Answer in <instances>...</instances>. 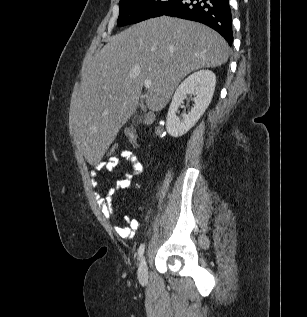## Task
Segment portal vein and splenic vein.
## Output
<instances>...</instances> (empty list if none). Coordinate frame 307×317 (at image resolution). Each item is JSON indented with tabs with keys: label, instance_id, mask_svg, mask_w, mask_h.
<instances>
[{
	"label": "portal vein and splenic vein",
	"instance_id": "1",
	"mask_svg": "<svg viewBox=\"0 0 307 317\" xmlns=\"http://www.w3.org/2000/svg\"><path fill=\"white\" fill-rule=\"evenodd\" d=\"M151 85H152V83H151L150 80H145V81H144V86H145L146 88H150Z\"/></svg>",
	"mask_w": 307,
	"mask_h": 317
}]
</instances>
